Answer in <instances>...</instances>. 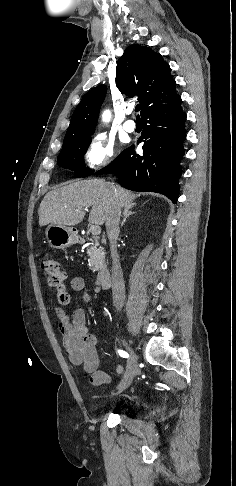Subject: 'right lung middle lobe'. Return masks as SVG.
I'll use <instances>...</instances> for the list:
<instances>
[{
  "instance_id": "obj_1",
  "label": "right lung middle lobe",
  "mask_w": 236,
  "mask_h": 486,
  "mask_svg": "<svg viewBox=\"0 0 236 486\" xmlns=\"http://www.w3.org/2000/svg\"><path fill=\"white\" fill-rule=\"evenodd\" d=\"M91 134L64 144L58 156V164L61 167L74 170L78 174L77 177H86L93 173V170L86 167L84 163V154L92 140Z\"/></svg>"
}]
</instances>
